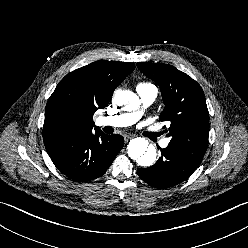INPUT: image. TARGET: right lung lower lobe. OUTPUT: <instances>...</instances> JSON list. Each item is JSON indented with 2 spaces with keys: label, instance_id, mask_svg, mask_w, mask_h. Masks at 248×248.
I'll list each match as a JSON object with an SVG mask.
<instances>
[{
  "label": "right lung lower lobe",
  "instance_id": "obj_1",
  "mask_svg": "<svg viewBox=\"0 0 248 248\" xmlns=\"http://www.w3.org/2000/svg\"><path fill=\"white\" fill-rule=\"evenodd\" d=\"M69 137L46 147L54 165L77 182H87L105 174L124 145L121 135L100 130Z\"/></svg>",
  "mask_w": 248,
  "mask_h": 248
}]
</instances>
